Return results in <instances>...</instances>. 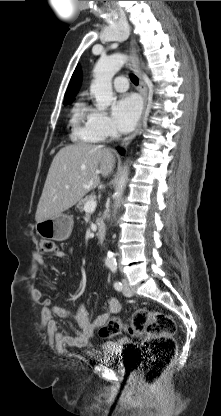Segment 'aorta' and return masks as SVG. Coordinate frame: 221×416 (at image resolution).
Segmentation results:
<instances>
[{
    "instance_id": "1",
    "label": "aorta",
    "mask_w": 221,
    "mask_h": 416,
    "mask_svg": "<svg viewBox=\"0 0 221 416\" xmlns=\"http://www.w3.org/2000/svg\"><path fill=\"white\" fill-rule=\"evenodd\" d=\"M127 61V56L123 54H113L108 57L100 58L94 68V80L91 84L90 91L96 99V107L98 109H106L112 103L113 91H112V78L121 69V67ZM129 168L124 165L121 176L119 178L116 191L114 193V214L117 213L120 207L122 195L128 182ZM105 264L107 266H115L116 259L114 253L109 251L105 258Z\"/></svg>"
}]
</instances>
